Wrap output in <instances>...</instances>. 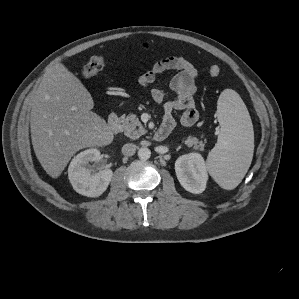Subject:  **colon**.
I'll list each match as a JSON object with an SVG mask.
<instances>
[{"instance_id":"1","label":"colon","mask_w":299,"mask_h":299,"mask_svg":"<svg viewBox=\"0 0 299 299\" xmlns=\"http://www.w3.org/2000/svg\"><path fill=\"white\" fill-rule=\"evenodd\" d=\"M109 62L108 58L102 55L91 57L82 69V74L86 78H91L100 72ZM208 73L212 77H217L220 74L218 65H211L208 68Z\"/></svg>"}]
</instances>
